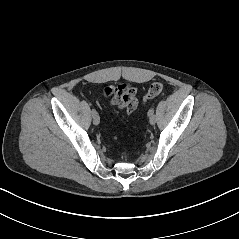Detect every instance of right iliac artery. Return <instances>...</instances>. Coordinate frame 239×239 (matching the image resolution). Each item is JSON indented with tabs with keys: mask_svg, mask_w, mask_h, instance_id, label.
<instances>
[{
	"mask_svg": "<svg viewBox=\"0 0 239 239\" xmlns=\"http://www.w3.org/2000/svg\"><path fill=\"white\" fill-rule=\"evenodd\" d=\"M91 113H92V116L95 115V114H97V112H96L95 109H92Z\"/></svg>",
	"mask_w": 239,
	"mask_h": 239,
	"instance_id": "right-iliac-artery-1",
	"label": "right iliac artery"
}]
</instances>
